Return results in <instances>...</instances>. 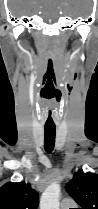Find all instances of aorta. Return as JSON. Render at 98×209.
Listing matches in <instances>:
<instances>
[{"label": "aorta", "mask_w": 98, "mask_h": 209, "mask_svg": "<svg viewBox=\"0 0 98 209\" xmlns=\"http://www.w3.org/2000/svg\"><path fill=\"white\" fill-rule=\"evenodd\" d=\"M61 188L58 183L50 184L43 192L40 199V209H59Z\"/></svg>", "instance_id": "obj_1"}]
</instances>
